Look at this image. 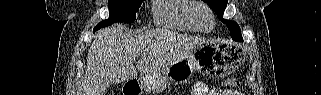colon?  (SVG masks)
I'll use <instances>...</instances> for the list:
<instances>
[{"instance_id":"obj_1","label":"colon","mask_w":321,"mask_h":95,"mask_svg":"<svg viewBox=\"0 0 321 95\" xmlns=\"http://www.w3.org/2000/svg\"><path fill=\"white\" fill-rule=\"evenodd\" d=\"M240 84L239 80L237 78H228L225 80V85L228 87H238Z\"/></svg>"}]
</instances>
